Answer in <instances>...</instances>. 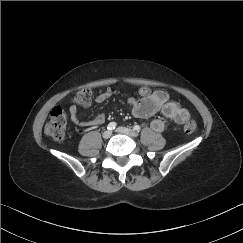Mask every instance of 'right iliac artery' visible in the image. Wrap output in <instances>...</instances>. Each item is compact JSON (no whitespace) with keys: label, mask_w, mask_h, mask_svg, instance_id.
I'll use <instances>...</instances> for the list:
<instances>
[{"label":"right iliac artery","mask_w":243,"mask_h":243,"mask_svg":"<svg viewBox=\"0 0 243 243\" xmlns=\"http://www.w3.org/2000/svg\"><path fill=\"white\" fill-rule=\"evenodd\" d=\"M116 127V123L115 122H110L108 125H107V129L108 130H113L115 129Z\"/></svg>","instance_id":"obj_1"}]
</instances>
